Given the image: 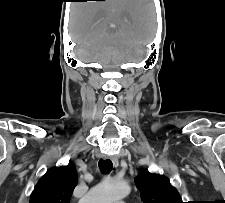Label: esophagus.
<instances>
[{
    "instance_id": "esophagus-1",
    "label": "esophagus",
    "mask_w": 225,
    "mask_h": 203,
    "mask_svg": "<svg viewBox=\"0 0 225 203\" xmlns=\"http://www.w3.org/2000/svg\"><path fill=\"white\" fill-rule=\"evenodd\" d=\"M104 158L106 159V158H108V157H107V156H104ZM109 158L111 159L113 165H114L115 167H117L118 164H119L118 158H117L116 156H111V157H109Z\"/></svg>"
}]
</instances>
